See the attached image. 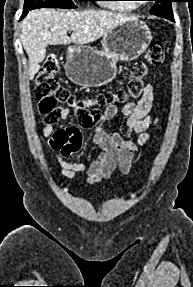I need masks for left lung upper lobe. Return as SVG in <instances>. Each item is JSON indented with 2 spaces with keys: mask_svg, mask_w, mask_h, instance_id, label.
I'll list each match as a JSON object with an SVG mask.
<instances>
[{
  "mask_svg": "<svg viewBox=\"0 0 193 287\" xmlns=\"http://www.w3.org/2000/svg\"><path fill=\"white\" fill-rule=\"evenodd\" d=\"M153 1H155V5L150 10V13L152 15L164 17L169 20L173 19L171 3L174 0H153Z\"/></svg>",
  "mask_w": 193,
  "mask_h": 287,
  "instance_id": "left-lung-upper-lobe-1",
  "label": "left lung upper lobe"
}]
</instances>
